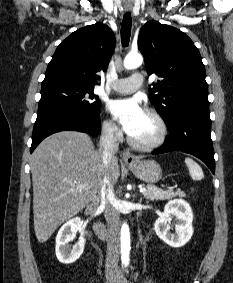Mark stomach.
<instances>
[{"instance_id":"obj_1","label":"stomach","mask_w":233,"mask_h":283,"mask_svg":"<svg viewBox=\"0 0 233 283\" xmlns=\"http://www.w3.org/2000/svg\"><path fill=\"white\" fill-rule=\"evenodd\" d=\"M128 168L138 179L148 184H154L162 177V169L154 160H138L134 164H129Z\"/></svg>"}]
</instances>
